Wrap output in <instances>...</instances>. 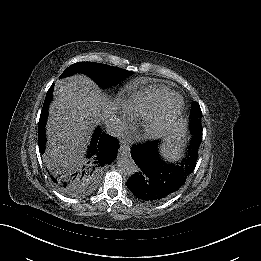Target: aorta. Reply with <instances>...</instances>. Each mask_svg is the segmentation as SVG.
Returning <instances> with one entry per match:
<instances>
[{"mask_svg":"<svg viewBox=\"0 0 261 261\" xmlns=\"http://www.w3.org/2000/svg\"><path fill=\"white\" fill-rule=\"evenodd\" d=\"M117 166L119 167L120 171L127 176H132L139 171V168L134 160L131 157L125 155L118 157Z\"/></svg>","mask_w":261,"mask_h":261,"instance_id":"obj_1","label":"aorta"}]
</instances>
